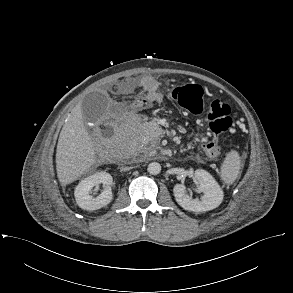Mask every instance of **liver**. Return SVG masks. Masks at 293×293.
<instances>
[{
	"label": "liver",
	"mask_w": 293,
	"mask_h": 293,
	"mask_svg": "<svg viewBox=\"0 0 293 293\" xmlns=\"http://www.w3.org/2000/svg\"><path fill=\"white\" fill-rule=\"evenodd\" d=\"M95 160L94 144L83 122L81 104H78L68 116L58 139L56 171L60 183L74 182Z\"/></svg>",
	"instance_id": "6515ba94"
}]
</instances>
